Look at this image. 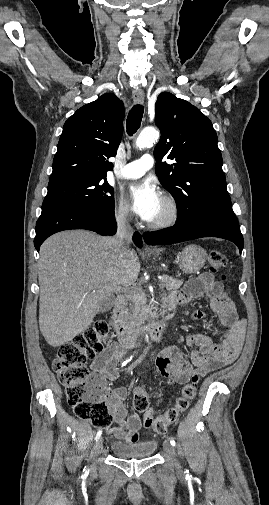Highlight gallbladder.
Wrapping results in <instances>:
<instances>
[{
  "instance_id": "gallbladder-1",
  "label": "gallbladder",
  "mask_w": 269,
  "mask_h": 505,
  "mask_svg": "<svg viewBox=\"0 0 269 505\" xmlns=\"http://www.w3.org/2000/svg\"><path fill=\"white\" fill-rule=\"evenodd\" d=\"M112 306H113V300L107 299L102 302L100 312H107L112 308Z\"/></svg>"
}]
</instances>
